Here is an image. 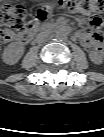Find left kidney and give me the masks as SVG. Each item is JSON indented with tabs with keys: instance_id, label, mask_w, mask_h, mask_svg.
Listing matches in <instances>:
<instances>
[{
	"instance_id": "obj_1",
	"label": "left kidney",
	"mask_w": 104,
	"mask_h": 137,
	"mask_svg": "<svg viewBox=\"0 0 104 137\" xmlns=\"http://www.w3.org/2000/svg\"><path fill=\"white\" fill-rule=\"evenodd\" d=\"M91 60L95 61V62H100L98 59H96L95 57L91 56Z\"/></svg>"
}]
</instances>
